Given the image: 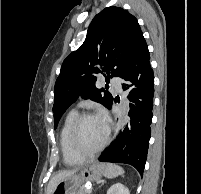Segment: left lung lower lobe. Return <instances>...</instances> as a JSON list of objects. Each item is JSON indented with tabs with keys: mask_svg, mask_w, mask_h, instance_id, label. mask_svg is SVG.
Returning a JSON list of instances; mask_svg holds the SVG:
<instances>
[{
	"mask_svg": "<svg viewBox=\"0 0 201 194\" xmlns=\"http://www.w3.org/2000/svg\"><path fill=\"white\" fill-rule=\"evenodd\" d=\"M121 78L126 81L123 90H130L131 120L118 139L103 152L99 161L130 164L143 175L151 137L154 94V74L145 39Z\"/></svg>",
	"mask_w": 201,
	"mask_h": 194,
	"instance_id": "1",
	"label": "left lung lower lobe"
}]
</instances>
